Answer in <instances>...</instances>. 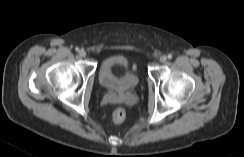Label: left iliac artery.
Segmentation results:
<instances>
[{"mask_svg":"<svg viewBox=\"0 0 244 157\" xmlns=\"http://www.w3.org/2000/svg\"><path fill=\"white\" fill-rule=\"evenodd\" d=\"M168 58L171 59L172 58V54H168Z\"/></svg>","mask_w":244,"mask_h":157,"instance_id":"obj_1","label":"left iliac artery"}]
</instances>
